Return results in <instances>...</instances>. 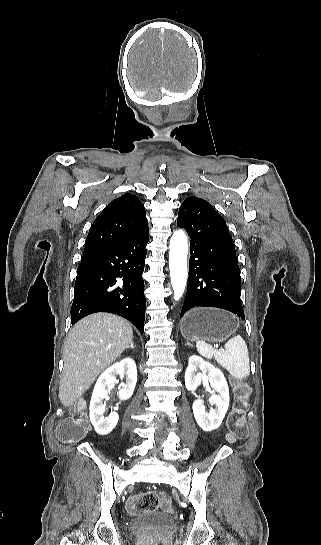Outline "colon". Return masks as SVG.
I'll return each instance as SVG.
<instances>
[{"label": "colon", "instance_id": "5ec220e1", "mask_svg": "<svg viewBox=\"0 0 321 545\" xmlns=\"http://www.w3.org/2000/svg\"><path fill=\"white\" fill-rule=\"evenodd\" d=\"M234 393V407L228 418V437L231 441L242 440L248 435L245 414L250 388L246 383L237 381L234 384ZM88 427L84 406L79 404L74 408V415L59 425L57 434L59 439L65 443H77L85 437ZM160 506L166 511H171L170 503L165 499L161 500L154 492L137 494L127 502V510L132 514L155 511ZM150 545H161V543L152 541Z\"/></svg>", "mask_w": 321, "mask_h": 545}]
</instances>
